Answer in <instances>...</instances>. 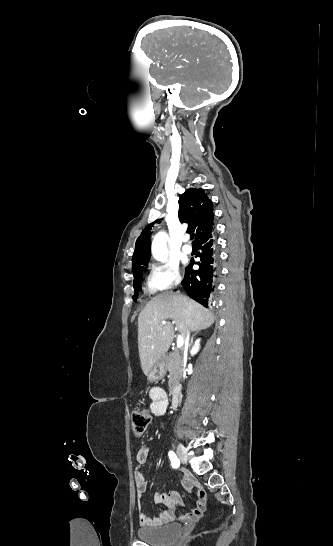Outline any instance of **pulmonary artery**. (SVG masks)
<instances>
[{
	"label": "pulmonary artery",
	"instance_id": "pulmonary-artery-1",
	"mask_svg": "<svg viewBox=\"0 0 333 546\" xmlns=\"http://www.w3.org/2000/svg\"><path fill=\"white\" fill-rule=\"evenodd\" d=\"M182 251L185 254H190L192 252V247L189 244H187V239L185 240V244L182 246Z\"/></svg>",
	"mask_w": 333,
	"mask_h": 546
}]
</instances>
